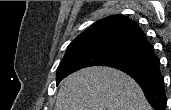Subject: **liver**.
<instances>
[{
    "label": "liver",
    "mask_w": 171,
    "mask_h": 110,
    "mask_svg": "<svg viewBox=\"0 0 171 110\" xmlns=\"http://www.w3.org/2000/svg\"><path fill=\"white\" fill-rule=\"evenodd\" d=\"M55 110H152L140 86L109 67H88L66 77Z\"/></svg>",
    "instance_id": "1"
}]
</instances>
